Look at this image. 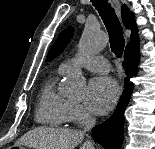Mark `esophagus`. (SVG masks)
<instances>
[{"mask_svg":"<svg viewBox=\"0 0 155 149\" xmlns=\"http://www.w3.org/2000/svg\"><path fill=\"white\" fill-rule=\"evenodd\" d=\"M113 7L116 9L117 13L120 15L121 4L118 0H109Z\"/></svg>","mask_w":155,"mask_h":149,"instance_id":"34e87169","label":"esophagus"}]
</instances>
